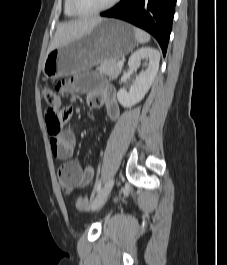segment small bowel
Masks as SVG:
<instances>
[{
	"mask_svg": "<svg viewBox=\"0 0 227 265\" xmlns=\"http://www.w3.org/2000/svg\"><path fill=\"white\" fill-rule=\"evenodd\" d=\"M100 76V72H79L78 76L62 81L61 89L66 93L86 94L92 108H105L109 119L116 121L120 116V109L115 89ZM57 85H60V82H57ZM64 111H68V108H64ZM75 144L74 134L69 130L51 135L50 146L54 157L65 161L58 170V178L67 194L90 184L95 175L92 166L82 167L78 162L70 160Z\"/></svg>",
	"mask_w": 227,
	"mask_h": 265,
	"instance_id": "obj_1",
	"label": "small bowel"
}]
</instances>
